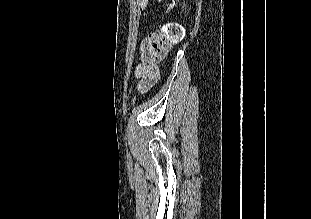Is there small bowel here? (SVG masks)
Instances as JSON below:
<instances>
[{"label": "small bowel", "mask_w": 311, "mask_h": 219, "mask_svg": "<svg viewBox=\"0 0 311 219\" xmlns=\"http://www.w3.org/2000/svg\"><path fill=\"white\" fill-rule=\"evenodd\" d=\"M139 75L142 77V80L139 85L142 91L147 90L154 84L155 79L150 77L145 71L139 70Z\"/></svg>", "instance_id": "small-bowel-1"}]
</instances>
